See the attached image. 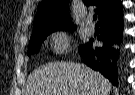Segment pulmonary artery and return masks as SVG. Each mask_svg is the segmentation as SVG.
Returning a JSON list of instances; mask_svg holds the SVG:
<instances>
[{
	"label": "pulmonary artery",
	"instance_id": "1",
	"mask_svg": "<svg viewBox=\"0 0 135 95\" xmlns=\"http://www.w3.org/2000/svg\"><path fill=\"white\" fill-rule=\"evenodd\" d=\"M94 26L92 25L90 19L88 20V25L86 27V31L88 34H93L94 33Z\"/></svg>",
	"mask_w": 135,
	"mask_h": 95
}]
</instances>
